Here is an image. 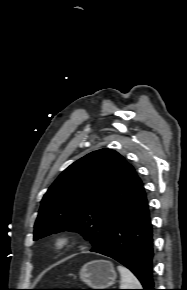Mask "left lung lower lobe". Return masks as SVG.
Returning a JSON list of instances; mask_svg holds the SVG:
<instances>
[{"label": "left lung lower lobe", "instance_id": "0a47b994", "mask_svg": "<svg viewBox=\"0 0 187 290\" xmlns=\"http://www.w3.org/2000/svg\"><path fill=\"white\" fill-rule=\"evenodd\" d=\"M91 251L126 266L139 279L143 290H155L152 225L143 184L128 201L105 240Z\"/></svg>", "mask_w": 187, "mask_h": 290}]
</instances>
